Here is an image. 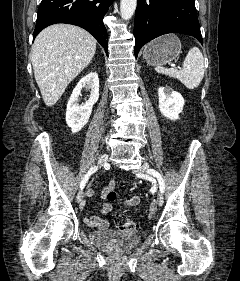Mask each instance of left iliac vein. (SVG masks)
Segmentation results:
<instances>
[{"label":"left iliac vein","mask_w":240,"mask_h":281,"mask_svg":"<svg viewBox=\"0 0 240 281\" xmlns=\"http://www.w3.org/2000/svg\"><path fill=\"white\" fill-rule=\"evenodd\" d=\"M149 170V164L147 162H143L142 165L136 170V174L139 176H144L145 172ZM163 204V195L162 192H158L157 195V205L161 206Z\"/></svg>","instance_id":"obj_1"}]
</instances>
